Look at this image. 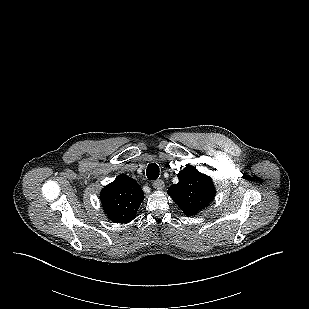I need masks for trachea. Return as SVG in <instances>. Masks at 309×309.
Segmentation results:
<instances>
[{
  "instance_id": "obj_1",
  "label": "trachea",
  "mask_w": 309,
  "mask_h": 309,
  "mask_svg": "<svg viewBox=\"0 0 309 309\" xmlns=\"http://www.w3.org/2000/svg\"><path fill=\"white\" fill-rule=\"evenodd\" d=\"M148 179L156 180L159 177V166L156 163H151L146 170Z\"/></svg>"
}]
</instances>
